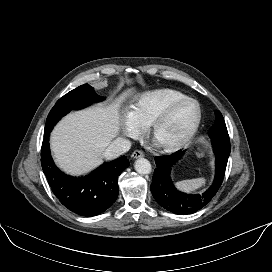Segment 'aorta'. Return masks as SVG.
<instances>
[{"label": "aorta", "mask_w": 272, "mask_h": 272, "mask_svg": "<svg viewBox=\"0 0 272 272\" xmlns=\"http://www.w3.org/2000/svg\"><path fill=\"white\" fill-rule=\"evenodd\" d=\"M134 167L139 174H149L152 170L150 162L145 158L137 159Z\"/></svg>", "instance_id": "1"}]
</instances>
